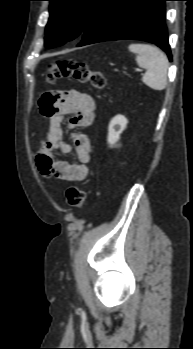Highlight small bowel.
I'll return each mask as SVG.
<instances>
[{"label":"small bowel","instance_id":"c3829d8e","mask_svg":"<svg viewBox=\"0 0 193 349\" xmlns=\"http://www.w3.org/2000/svg\"><path fill=\"white\" fill-rule=\"evenodd\" d=\"M95 101L87 93L75 89L59 92L54 112L48 114L41 109L43 116L49 119L46 135L38 144L36 163L45 176L61 181H82L89 174L91 143L89 137L81 132L71 134L72 144L63 139L62 125L67 115H71L69 128L78 129L90 126L94 120ZM74 152L77 163H68L57 159L56 155Z\"/></svg>","mask_w":193,"mask_h":349}]
</instances>
